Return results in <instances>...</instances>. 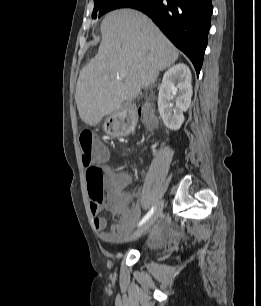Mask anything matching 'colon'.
I'll return each instance as SVG.
<instances>
[{"label": "colon", "mask_w": 261, "mask_h": 306, "mask_svg": "<svg viewBox=\"0 0 261 306\" xmlns=\"http://www.w3.org/2000/svg\"><path fill=\"white\" fill-rule=\"evenodd\" d=\"M129 118H143L146 122L150 121L149 114L144 107H134L129 110L128 115L119 117L122 126H125ZM82 163L87 170V183L90 195L93 198L101 197L106 190L110 178L105 170L94 163L95 160L106 159L108 153L105 147H96L91 131H82L79 135Z\"/></svg>", "instance_id": "1"}]
</instances>
